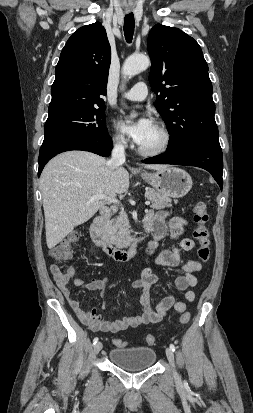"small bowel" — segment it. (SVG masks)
I'll return each mask as SVG.
<instances>
[{"instance_id": "c3829d8e", "label": "small bowel", "mask_w": 253, "mask_h": 413, "mask_svg": "<svg viewBox=\"0 0 253 413\" xmlns=\"http://www.w3.org/2000/svg\"><path fill=\"white\" fill-rule=\"evenodd\" d=\"M168 212H150L144 219L149 231L152 233L153 240L149 243L146 254L148 256L147 266L141 273L139 279L132 282V287L140 290V302L142 313L134 317H123L116 321H107L94 307L85 311L81 308L79 302L74 299L69 284L76 287H85L88 290H103L108 283L106 280H93L84 282L75 274V267L69 265L66 273H62L58 265L52 264L50 272L57 283L58 288L67 300L68 304L78 317V319L87 325L94 332H111L117 333L128 328H136L140 325L160 322L171 309L177 312H184L186 304L177 300L173 295L163 298L155 309H152L150 302V289L157 282V275L153 272L152 265H162L167 267H179L182 275L175 279V286L183 293L186 301L195 299V292L192 290L197 285L195 273L202 269L200 262L191 260L185 263L181 262V252L189 253L194 249V242L190 238H181L184 228L188 225L187 220L179 216H172L167 224L166 218ZM169 231L172 239L176 240L177 245L171 250H164L159 255L151 258L157 247V242L162 239Z\"/></svg>"}]
</instances>
